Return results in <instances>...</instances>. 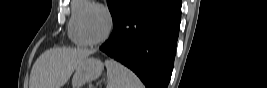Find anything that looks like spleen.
Instances as JSON below:
<instances>
[{"label":"spleen","instance_id":"1","mask_svg":"<svg viewBox=\"0 0 267 88\" xmlns=\"http://www.w3.org/2000/svg\"><path fill=\"white\" fill-rule=\"evenodd\" d=\"M107 88H144L143 83L130 69L124 65L107 59Z\"/></svg>","mask_w":267,"mask_h":88}]
</instances>
